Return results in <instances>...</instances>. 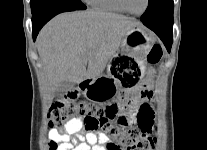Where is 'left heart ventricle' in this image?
Here are the masks:
<instances>
[{
    "label": "left heart ventricle",
    "mask_w": 207,
    "mask_h": 150,
    "mask_svg": "<svg viewBox=\"0 0 207 150\" xmlns=\"http://www.w3.org/2000/svg\"><path fill=\"white\" fill-rule=\"evenodd\" d=\"M127 7L133 12H141L146 4V0H125Z\"/></svg>",
    "instance_id": "obj_1"
}]
</instances>
